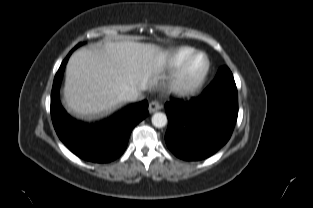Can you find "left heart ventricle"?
I'll use <instances>...</instances> for the list:
<instances>
[{
    "instance_id": "1",
    "label": "left heart ventricle",
    "mask_w": 313,
    "mask_h": 208,
    "mask_svg": "<svg viewBox=\"0 0 313 208\" xmlns=\"http://www.w3.org/2000/svg\"><path fill=\"white\" fill-rule=\"evenodd\" d=\"M201 63H202L201 59H198V60L194 63V65H193V67H192V73H194V72L200 67Z\"/></svg>"
}]
</instances>
